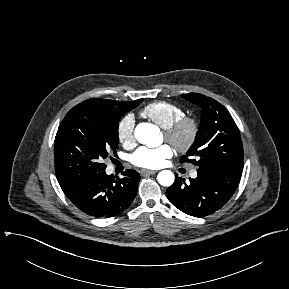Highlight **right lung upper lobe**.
<instances>
[{
	"mask_svg": "<svg viewBox=\"0 0 289 289\" xmlns=\"http://www.w3.org/2000/svg\"><path fill=\"white\" fill-rule=\"evenodd\" d=\"M137 102H122V101H114V100H108V99H101V98H92L89 100H86L82 103H80L77 106H86V107H92L97 108L101 110H117L126 106L133 105ZM68 189L63 190L64 192Z\"/></svg>",
	"mask_w": 289,
	"mask_h": 289,
	"instance_id": "right-lung-upper-lobe-1",
	"label": "right lung upper lobe"
}]
</instances>
